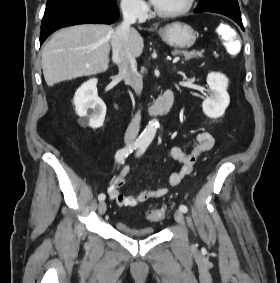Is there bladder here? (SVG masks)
I'll use <instances>...</instances> for the list:
<instances>
[{
    "mask_svg": "<svg viewBox=\"0 0 280 283\" xmlns=\"http://www.w3.org/2000/svg\"><path fill=\"white\" fill-rule=\"evenodd\" d=\"M116 229L119 233L130 238H143L155 234V227L151 225L133 226L126 222H116Z\"/></svg>",
    "mask_w": 280,
    "mask_h": 283,
    "instance_id": "obj_1",
    "label": "bladder"
}]
</instances>
